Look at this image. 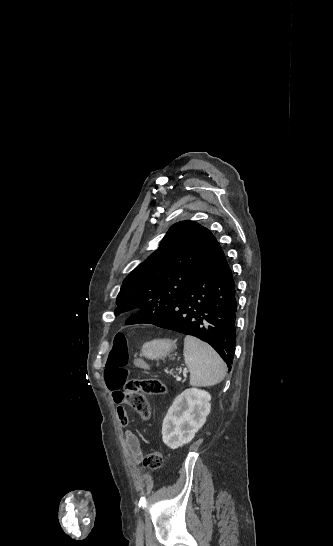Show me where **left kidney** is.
Segmentation results:
<instances>
[{"instance_id":"1","label":"left kidney","mask_w":333,"mask_h":546,"mask_svg":"<svg viewBox=\"0 0 333 546\" xmlns=\"http://www.w3.org/2000/svg\"><path fill=\"white\" fill-rule=\"evenodd\" d=\"M210 399L208 392L197 388L186 389L175 398L162 425L167 447L177 449L194 438L210 413Z\"/></svg>"}]
</instances>
